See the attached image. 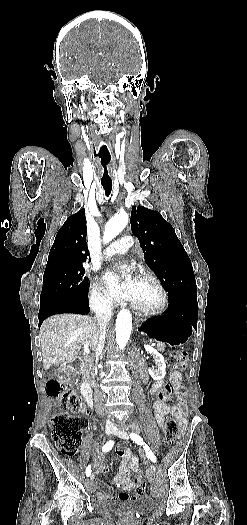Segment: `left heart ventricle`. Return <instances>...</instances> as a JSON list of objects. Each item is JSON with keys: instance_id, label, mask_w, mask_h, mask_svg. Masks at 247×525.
<instances>
[{"instance_id": "b2bd125f", "label": "left heart ventricle", "mask_w": 247, "mask_h": 525, "mask_svg": "<svg viewBox=\"0 0 247 525\" xmlns=\"http://www.w3.org/2000/svg\"><path fill=\"white\" fill-rule=\"evenodd\" d=\"M117 269L121 272H126L134 269V261L131 256H121L118 260ZM161 292L155 283L145 277L139 278V290L135 296V300L147 305H156L161 301Z\"/></svg>"}]
</instances>
